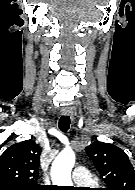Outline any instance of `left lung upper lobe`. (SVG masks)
<instances>
[{"label": "left lung upper lobe", "instance_id": "obj_1", "mask_svg": "<svg viewBox=\"0 0 135 190\" xmlns=\"http://www.w3.org/2000/svg\"><path fill=\"white\" fill-rule=\"evenodd\" d=\"M86 152L107 184L105 190H135V171L122 149L96 141Z\"/></svg>", "mask_w": 135, "mask_h": 190}]
</instances>
